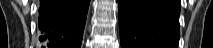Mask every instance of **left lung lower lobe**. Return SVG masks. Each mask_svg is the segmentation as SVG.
Here are the masks:
<instances>
[{
	"instance_id": "1",
	"label": "left lung lower lobe",
	"mask_w": 213,
	"mask_h": 48,
	"mask_svg": "<svg viewBox=\"0 0 213 48\" xmlns=\"http://www.w3.org/2000/svg\"><path fill=\"white\" fill-rule=\"evenodd\" d=\"M121 48H178L180 0H118Z\"/></svg>"
}]
</instances>
